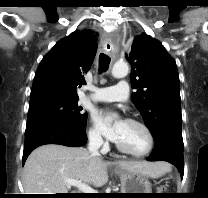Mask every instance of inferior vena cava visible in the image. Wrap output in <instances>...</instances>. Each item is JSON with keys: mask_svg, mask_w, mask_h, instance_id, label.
<instances>
[{"mask_svg": "<svg viewBox=\"0 0 208 198\" xmlns=\"http://www.w3.org/2000/svg\"><path fill=\"white\" fill-rule=\"evenodd\" d=\"M101 138L100 137H91L88 143V152L92 155V156H99V148L101 146Z\"/></svg>", "mask_w": 208, "mask_h": 198, "instance_id": "obj_1", "label": "inferior vena cava"}]
</instances>
